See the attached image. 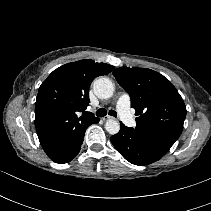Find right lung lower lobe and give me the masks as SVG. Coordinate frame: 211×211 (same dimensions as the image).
I'll return each mask as SVG.
<instances>
[{
	"mask_svg": "<svg viewBox=\"0 0 211 211\" xmlns=\"http://www.w3.org/2000/svg\"><path fill=\"white\" fill-rule=\"evenodd\" d=\"M86 129L78 130L72 137V140L63 149L48 155L49 158L59 164L67 163L75 158L80 151Z\"/></svg>",
	"mask_w": 211,
	"mask_h": 211,
	"instance_id": "98d812e1",
	"label": "right lung lower lobe"
}]
</instances>
